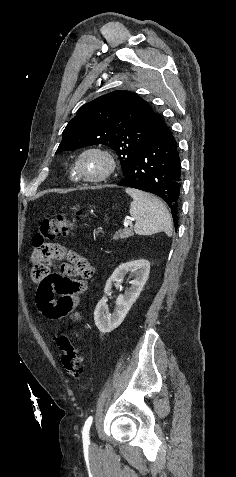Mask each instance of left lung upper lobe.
<instances>
[{"mask_svg": "<svg viewBox=\"0 0 236 477\" xmlns=\"http://www.w3.org/2000/svg\"><path fill=\"white\" fill-rule=\"evenodd\" d=\"M161 120L136 93L114 91L80 107L63 131L56 154L103 144L116 151L125 176L133 157L150 140Z\"/></svg>", "mask_w": 236, "mask_h": 477, "instance_id": "1", "label": "left lung upper lobe"}]
</instances>
